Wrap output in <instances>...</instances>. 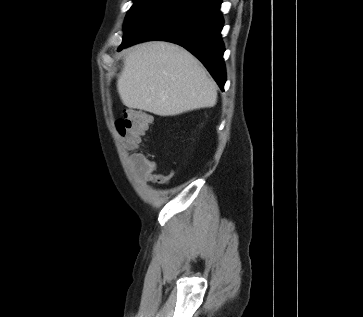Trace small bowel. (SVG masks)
I'll return each instance as SVG.
<instances>
[{
	"instance_id": "1",
	"label": "small bowel",
	"mask_w": 363,
	"mask_h": 317,
	"mask_svg": "<svg viewBox=\"0 0 363 317\" xmlns=\"http://www.w3.org/2000/svg\"><path fill=\"white\" fill-rule=\"evenodd\" d=\"M139 159L140 161L133 163V165L142 172L144 182L159 184H167L169 182V177L167 175L156 172L155 163L149 160L146 155L141 154Z\"/></svg>"
}]
</instances>
